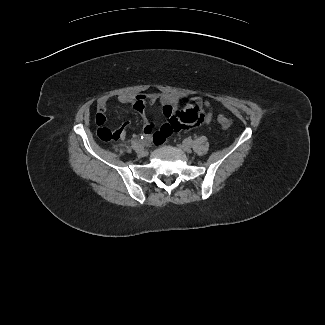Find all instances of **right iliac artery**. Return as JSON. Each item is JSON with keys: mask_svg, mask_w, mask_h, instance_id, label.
<instances>
[{"mask_svg": "<svg viewBox=\"0 0 325 325\" xmlns=\"http://www.w3.org/2000/svg\"><path fill=\"white\" fill-rule=\"evenodd\" d=\"M141 147V145H139L138 143L136 142H132V148L137 151L139 148Z\"/></svg>", "mask_w": 325, "mask_h": 325, "instance_id": "right-iliac-artery-1", "label": "right iliac artery"}]
</instances>
